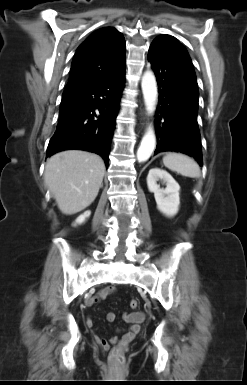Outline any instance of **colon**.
Instances as JSON below:
<instances>
[{
	"label": "colon",
	"instance_id": "obj_1",
	"mask_svg": "<svg viewBox=\"0 0 247 385\" xmlns=\"http://www.w3.org/2000/svg\"><path fill=\"white\" fill-rule=\"evenodd\" d=\"M138 301L137 300H132L130 302V307L132 309H136L138 307ZM126 347V341H123L120 345L114 347L112 350H111V360H112V363L114 365H117L121 362L122 360V355H123V352H124V349Z\"/></svg>",
	"mask_w": 247,
	"mask_h": 385
}]
</instances>
